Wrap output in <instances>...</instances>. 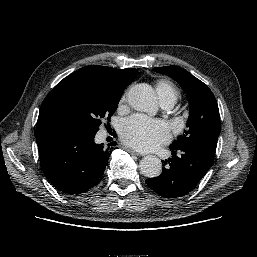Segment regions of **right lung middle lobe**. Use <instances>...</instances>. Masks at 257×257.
<instances>
[{"mask_svg": "<svg viewBox=\"0 0 257 257\" xmlns=\"http://www.w3.org/2000/svg\"><path fill=\"white\" fill-rule=\"evenodd\" d=\"M139 69L128 68V83L134 81ZM125 86L120 89L99 85L90 78H76L68 81L60 89L55 112L66 130L94 133L101 120H110L117 109Z\"/></svg>", "mask_w": 257, "mask_h": 257, "instance_id": "obj_1", "label": "right lung middle lobe"}]
</instances>
